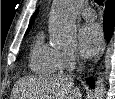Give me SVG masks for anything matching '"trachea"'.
Returning <instances> with one entry per match:
<instances>
[{
  "mask_svg": "<svg viewBox=\"0 0 115 99\" xmlns=\"http://www.w3.org/2000/svg\"><path fill=\"white\" fill-rule=\"evenodd\" d=\"M95 2L100 6H103L104 4V0H95Z\"/></svg>",
  "mask_w": 115,
  "mask_h": 99,
  "instance_id": "trachea-1",
  "label": "trachea"
}]
</instances>
